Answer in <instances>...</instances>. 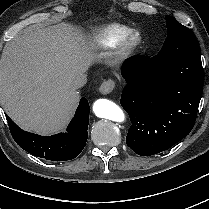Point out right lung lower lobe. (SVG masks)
Wrapping results in <instances>:
<instances>
[{
  "label": "right lung lower lobe",
  "mask_w": 209,
  "mask_h": 209,
  "mask_svg": "<svg viewBox=\"0 0 209 209\" xmlns=\"http://www.w3.org/2000/svg\"><path fill=\"white\" fill-rule=\"evenodd\" d=\"M89 103L81 98L65 133L41 136L20 129L8 116L7 121L16 143L34 156L51 161H66L78 156L86 145L89 124Z\"/></svg>",
  "instance_id": "right-lung-lower-lobe-1"
}]
</instances>
